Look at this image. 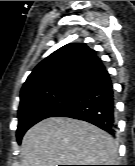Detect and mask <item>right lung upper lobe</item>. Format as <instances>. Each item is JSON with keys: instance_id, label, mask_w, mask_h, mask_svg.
Segmentation results:
<instances>
[{"instance_id": "right-lung-upper-lobe-1", "label": "right lung upper lobe", "mask_w": 135, "mask_h": 166, "mask_svg": "<svg viewBox=\"0 0 135 166\" xmlns=\"http://www.w3.org/2000/svg\"><path fill=\"white\" fill-rule=\"evenodd\" d=\"M103 65L86 44H67L40 62L24 83L20 105L71 85Z\"/></svg>"}]
</instances>
